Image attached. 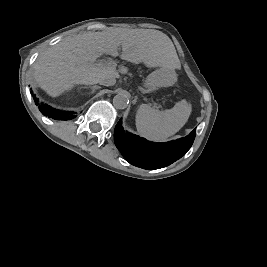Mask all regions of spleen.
I'll use <instances>...</instances> for the list:
<instances>
[{
    "instance_id": "1",
    "label": "spleen",
    "mask_w": 267,
    "mask_h": 267,
    "mask_svg": "<svg viewBox=\"0 0 267 267\" xmlns=\"http://www.w3.org/2000/svg\"><path fill=\"white\" fill-rule=\"evenodd\" d=\"M189 115L186 101L178 102L165 111L141 104L136 113V128L142 137L150 141L165 142L185 125Z\"/></svg>"
}]
</instances>
